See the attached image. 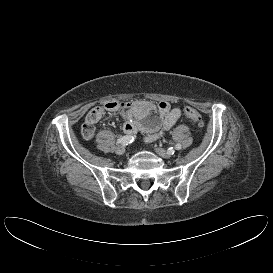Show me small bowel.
Here are the masks:
<instances>
[{"label":"small bowel","instance_id":"small-bowel-1","mask_svg":"<svg viewBox=\"0 0 273 273\" xmlns=\"http://www.w3.org/2000/svg\"><path fill=\"white\" fill-rule=\"evenodd\" d=\"M118 112L124 120V131L128 136L137 132L145 135L146 142H152L168 131L181 117V110L168 102L157 105L148 101L120 102L110 100L92 108L86 115L82 126V137L93 138L96 124L107 113Z\"/></svg>","mask_w":273,"mask_h":273}]
</instances>
